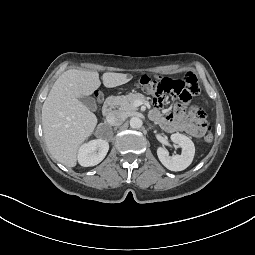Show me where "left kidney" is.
I'll list each match as a JSON object with an SVG mask.
<instances>
[{"label": "left kidney", "mask_w": 255, "mask_h": 255, "mask_svg": "<svg viewBox=\"0 0 255 255\" xmlns=\"http://www.w3.org/2000/svg\"><path fill=\"white\" fill-rule=\"evenodd\" d=\"M171 140L182 148L181 155L169 156L166 149L159 147L157 149L158 158L167 169L171 171H182L193 161L195 154L194 143L189 137L180 133L172 134Z\"/></svg>", "instance_id": "1"}]
</instances>
